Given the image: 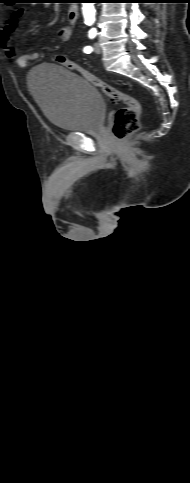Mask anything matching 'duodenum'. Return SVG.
Masks as SVG:
<instances>
[{
  "mask_svg": "<svg viewBox=\"0 0 190 483\" xmlns=\"http://www.w3.org/2000/svg\"><path fill=\"white\" fill-rule=\"evenodd\" d=\"M78 16H79L78 7L75 4L70 5L67 13L68 20L71 23H74L78 19Z\"/></svg>",
  "mask_w": 190,
  "mask_h": 483,
  "instance_id": "410a0bca",
  "label": "duodenum"
}]
</instances>
